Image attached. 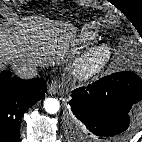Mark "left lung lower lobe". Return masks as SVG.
<instances>
[{"mask_svg":"<svg viewBox=\"0 0 142 142\" xmlns=\"http://www.w3.org/2000/svg\"><path fill=\"white\" fill-rule=\"evenodd\" d=\"M71 97V110L91 138L122 142L130 134V110L142 100V80L129 71L117 72L75 89Z\"/></svg>","mask_w":142,"mask_h":142,"instance_id":"obj_1","label":"left lung lower lobe"}]
</instances>
